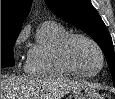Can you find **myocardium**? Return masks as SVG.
Here are the masks:
<instances>
[{"mask_svg":"<svg viewBox=\"0 0 115 99\" xmlns=\"http://www.w3.org/2000/svg\"><path fill=\"white\" fill-rule=\"evenodd\" d=\"M85 40L92 44L94 48L97 50L99 57H100V65L99 68L94 71V72H85L81 70L73 61L72 56H71V45L75 40ZM60 54L63 62L66 64V66L75 74L83 76V77H93L96 76L104 67L105 64V56L103 53L102 48L100 45L90 36H87L85 34H80V33H75V34H70L62 43L61 49H60Z\"/></svg>","mask_w":115,"mask_h":99,"instance_id":"1","label":"myocardium"}]
</instances>
